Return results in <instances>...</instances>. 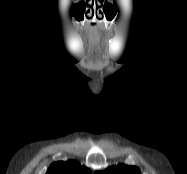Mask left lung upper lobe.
<instances>
[{
    "label": "left lung upper lobe",
    "mask_w": 187,
    "mask_h": 174,
    "mask_svg": "<svg viewBox=\"0 0 187 174\" xmlns=\"http://www.w3.org/2000/svg\"><path fill=\"white\" fill-rule=\"evenodd\" d=\"M95 174H140V170L134 166L119 164L111 166L102 172H95Z\"/></svg>",
    "instance_id": "obj_1"
}]
</instances>
